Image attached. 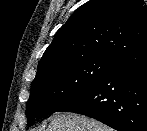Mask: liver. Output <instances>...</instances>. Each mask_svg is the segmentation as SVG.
Instances as JSON below:
<instances>
[{
	"mask_svg": "<svg viewBox=\"0 0 147 131\" xmlns=\"http://www.w3.org/2000/svg\"><path fill=\"white\" fill-rule=\"evenodd\" d=\"M46 131H112L103 123L74 113H55Z\"/></svg>",
	"mask_w": 147,
	"mask_h": 131,
	"instance_id": "6515ba94",
	"label": "liver"
}]
</instances>
